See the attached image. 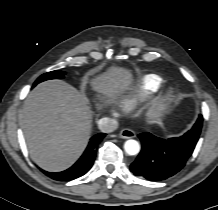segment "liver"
<instances>
[{"instance_id": "obj_1", "label": "liver", "mask_w": 218, "mask_h": 210, "mask_svg": "<svg viewBox=\"0 0 218 210\" xmlns=\"http://www.w3.org/2000/svg\"><path fill=\"white\" fill-rule=\"evenodd\" d=\"M128 70L116 66L90 81L99 95L115 99L130 88ZM85 98L61 80L40 83L29 94L22 110V128L33 161L47 171L70 167L85 150L92 129Z\"/></svg>"}]
</instances>
